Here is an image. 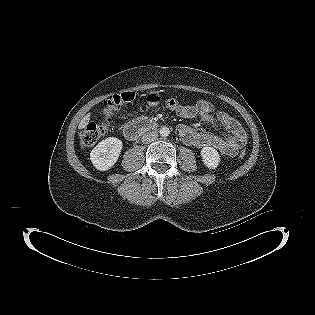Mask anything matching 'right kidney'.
Returning a JSON list of instances; mask_svg holds the SVG:
<instances>
[{
	"instance_id": "right-kidney-1",
	"label": "right kidney",
	"mask_w": 315,
	"mask_h": 315,
	"mask_svg": "<svg viewBox=\"0 0 315 315\" xmlns=\"http://www.w3.org/2000/svg\"><path fill=\"white\" fill-rule=\"evenodd\" d=\"M122 141L109 137L98 143L90 153L93 166L99 171L109 170L117 162L122 150Z\"/></svg>"
}]
</instances>
